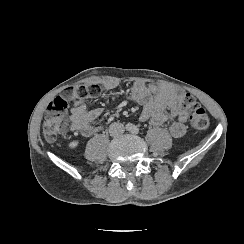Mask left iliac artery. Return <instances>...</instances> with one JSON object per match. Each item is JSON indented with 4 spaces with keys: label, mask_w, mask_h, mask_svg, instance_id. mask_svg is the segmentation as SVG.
<instances>
[{
    "label": "left iliac artery",
    "mask_w": 244,
    "mask_h": 244,
    "mask_svg": "<svg viewBox=\"0 0 244 244\" xmlns=\"http://www.w3.org/2000/svg\"><path fill=\"white\" fill-rule=\"evenodd\" d=\"M132 132H133L134 134H137V133L139 132V129L135 126V127L133 128Z\"/></svg>",
    "instance_id": "44dca946"
}]
</instances>
